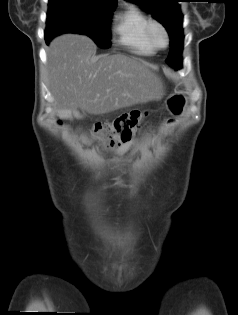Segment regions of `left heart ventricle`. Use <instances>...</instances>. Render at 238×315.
<instances>
[{
    "mask_svg": "<svg viewBox=\"0 0 238 315\" xmlns=\"http://www.w3.org/2000/svg\"><path fill=\"white\" fill-rule=\"evenodd\" d=\"M155 38L158 42H162L163 41V38H162V35L160 32L156 31L155 32Z\"/></svg>",
    "mask_w": 238,
    "mask_h": 315,
    "instance_id": "1",
    "label": "left heart ventricle"
}]
</instances>
